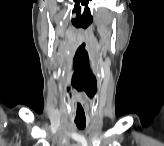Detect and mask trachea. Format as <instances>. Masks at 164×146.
<instances>
[{
    "label": "trachea",
    "instance_id": "trachea-1",
    "mask_svg": "<svg viewBox=\"0 0 164 146\" xmlns=\"http://www.w3.org/2000/svg\"><path fill=\"white\" fill-rule=\"evenodd\" d=\"M75 123H76V126L79 129H81V130H83L85 128V126H86V122L85 121H75Z\"/></svg>",
    "mask_w": 164,
    "mask_h": 146
}]
</instances>
